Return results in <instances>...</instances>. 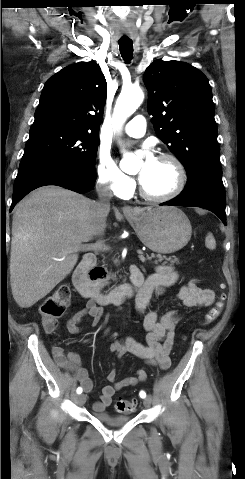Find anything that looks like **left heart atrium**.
I'll list each match as a JSON object with an SVG mask.
<instances>
[{
  "mask_svg": "<svg viewBox=\"0 0 245 479\" xmlns=\"http://www.w3.org/2000/svg\"><path fill=\"white\" fill-rule=\"evenodd\" d=\"M155 160H156V158L152 155V153L148 150H145V160H144V163H143V170L139 175V180L140 181H142L145 178L147 172L152 167Z\"/></svg>",
  "mask_w": 245,
  "mask_h": 479,
  "instance_id": "obj_1",
  "label": "left heart atrium"
}]
</instances>
